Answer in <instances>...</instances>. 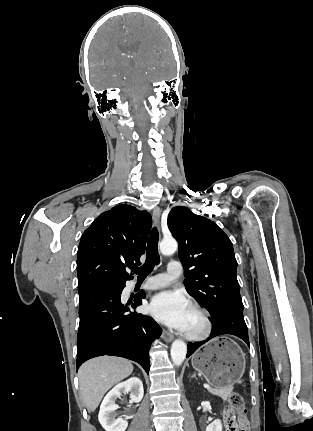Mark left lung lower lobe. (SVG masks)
I'll return each instance as SVG.
<instances>
[{
    "mask_svg": "<svg viewBox=\"0 0 313 431\" xmlns=\"http://www.w3.org/2000/svg\"><path fill=\"white\" fill-rule=\"evenodd\" d=\"M213 329L212 332L205 341L189 343L187 348V357L192 355L201 345L209 341L210 339L223 335L231 334L243 339L249 346L247 326L244 321L243 312L241 311H228L218 315L212 319Z\"/></svg>",
    "mask_w": 313,
    "mask_h": 431,
    "instance_id": "obj_1",
    "label": "left lung lower lobe"
}]
</instances>
